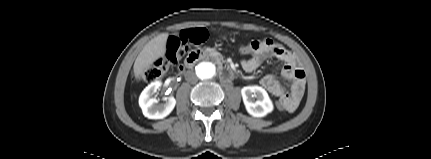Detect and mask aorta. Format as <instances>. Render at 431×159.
Wrapping results in <instances>:
<instances>
[{
    "mask_svg": "<svg viewBox=\"0 0 431 159\" xmlns=\"http://www.w3.org/2000/svg\"><path fill=\"white\" fill-rule=\"evenodd\" d=\"M195 72L201 80H210L216 74V67L209 61H202L196 65Z\"/></svg>",
    "mask_w": 431,
    "mask_h": 159,
    "instance_id": "obj_1",
    "label": "aorta"
}]
</instances>
